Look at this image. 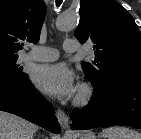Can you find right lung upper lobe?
Masks as SVG:
<instances>
[{
    "label": "right lung upper lobe",
    "mask_w": 141,
    "mask_h": 139,
    "mask_svg": "<svg viewBox=\"0 0 141 139\" xmlns=\"http://www.w3.org/2000/svg\"><path fill=\"white\" fill-rule=\"evenodd\" d=\"M45 13L42 0H1L0 56H18L24 42L37 43Z\"/></svg>",
    "instance_id": "1"
}]
</instances>
